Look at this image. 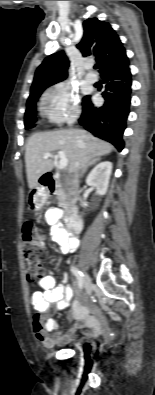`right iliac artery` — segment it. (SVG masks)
<instances>
[{
    "label": "right iliac artery",
    "instance_id": "82829eb1",
    "mask_svg": "<svg viewBox=\"0 0 155 395\" xmlns=\"http://www.w3.org/2000/svg\"><path fill=\"white\" fill-rule=\"evenodd\" d=\"M71 272L75 275V277L77 278V286L79 287V289H83L84 285H83V274L82 272H80L76 267L71 266Z\"/></svg>",
    "mask_w": 155,
    "mask_h": 395
}]
</instances>
